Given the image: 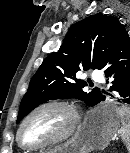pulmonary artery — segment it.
<instances>
[{
	"label": "pulmonary artery",
	"mask_w": 130,
	"mask_h": 153,
	"mask_svg": "<svg viewBox=\"0 0 130 153\" xmlns=\"http://www.w3.org/2000/svg\"><path fill=\"white\" fill-rule=\"evenodd\" d=\"M92 79L95 81V82H100L102 83L104 81V78H103V75L101 72L99 71H93L92 74Z\"/></svg>",
	"instance_id": "obj_1"
}]
</instances>
